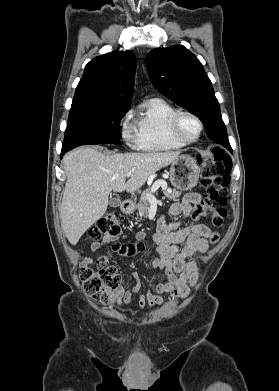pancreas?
I'll use <instances>...</instances> for the list:
<instances>
[{
    "label": "pancreas",
    "mask_w": 279,
    "mask_h": 391,
    "mask_svg": "<svg viewBox=\"0 0 279 391\" xmlns=\"http://www.w3.org/2000/svg\"><path fill=\"white\" fill-rule=\"evenodd\" d=\"M150 193H153L152 189H147L145 190L142 194H141V197H140V201L137 205V210H138V213H139V216L140 217H146L148 212H149V209H150V203L148 202V200L146 199V196ZM165 197L169 200H176L177 198L180 197L181 195V192L179 191H176V190H173L171 192L169 191H163Z\"/></svg>",
    "instance_id": "1"
}]
</instances>
